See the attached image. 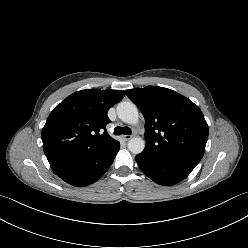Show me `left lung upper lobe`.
<instances>
[{
	"label": "left lung upper lobe",
	"instance_id": "obj_1",
	"mask_svg": "<svg viewBox=\"0 0 248 248\" xmlns=\"http://www.w3.org/2000/svg\"><path fill=\"white\" fill-rule=\"evenodd\" d=\"M125 93L146 121L147 144L142 153L195 168L204 155L209 132L199 107L179 93L158 86Z\"/></svg>",
	"mask_w": 248,
	"mask_h": 248
}]
</instances>
